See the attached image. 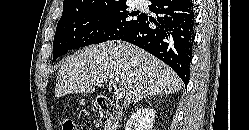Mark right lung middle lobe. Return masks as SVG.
<instances>
[{
	"label": "right lung middle lobe",
	"instance_id": "obj_1",
	"mask_svg": "<svg viewBox=\"0 0 249 130\" xmlns=\"http://www.w3.org/2000/svg\"><path fill=\"white\" fill-rule=\"evenodd\" d=\"M126 0L90 5L77 11H64L53 42V61L70 49L118 40L142 18L127 11ZM138 15L137 19L132 17Z\"/></svg>",
	"mask_w": 249,
	"mask_h": 130
}]
</instances>
